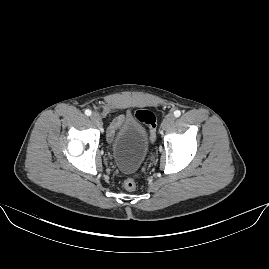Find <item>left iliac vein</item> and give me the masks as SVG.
<instances>
[{
  "label": "left iliac vein",
  "mask_w": 269,
  "mask_h": 269,
  "mask_svg": "<svg viewBox=\"0 0 269 269\" xmlns=\"http://www.w3.org/2000/svg\"><path fill=\"white\" fill-rule=\"evenodd\" d=\"M174 123H175L174 115L173 114H168L166 116V118L164 119V121L162 122L161 127H162L163 130H166V129L171 128L174 125Z\"/></svg>",
  "instance_id": "left-iliac-vein-1"
}]
</instances>
